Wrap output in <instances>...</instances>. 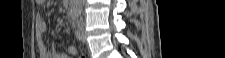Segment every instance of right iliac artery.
<instances>
[{"label":"right iliac artery","mask_w":225,"mask_h":58,"mask_svg":"<svg viewBox=\"0 0 225 58\" xmlns=\"http://www.w3.org/2000/svg\"><path fill=\"white\" fill-rule=\"evenodd\" d=\"M74 22H76V18H75V16H73V23H74Z\"/></svg>","instance_id":"right-iliac-artery-1"}]
</instances>
